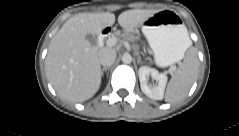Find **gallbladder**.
Segmentation results:
<instances>
[{
    "instance_id": "gallbladder-1",
    "label": "gallbladder",
    "mask_w": 239,
    "mask_h": 136,
    "mask_svg": "<svg viewBox=\"0 0 239 136\" xmlns=\"http://www.w3.org/2000/svg\"><path fill=\"white\" fill-rule=\"evenodd\" d=\"M92 45H95L97 43V39L94 35L87 34L85 37Z\"/></svg>"
}]
</instances>
